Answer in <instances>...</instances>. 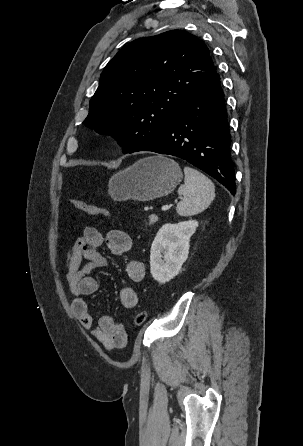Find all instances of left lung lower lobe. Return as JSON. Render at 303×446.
Listing matches in <instances>:
<instances>
[{
    "label": "left lung lower lobe",
    "mask_w": 303,
    "mask_h": 446,
    "mask_svg": "<svg viewBox=\"0 0 303 446\" xmlns=\"http://www.w3.org/2000/svg\"><path fill=\"white\" fill-rule=\"evenodd\" d=\"M224 93L216 72L181 106L172 124L137 151L182 158L235 194L234 164Z\"/></svg>",
    "instance_id": "obj_1"
}]
</instances>
